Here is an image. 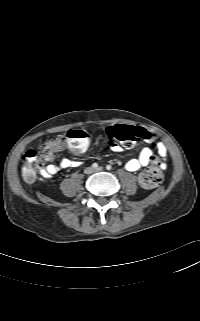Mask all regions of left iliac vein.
Wrapping results in <instances>:
<instances>
[{"label": "left iliac vein", "mask_w": 200, "mask_h": 321, "mask_svg": "<svg viewBox=\"0 0 200 321\" xmlns=\"http://www.w3.org/2000/svg\"><path fill=\"white\" fill-rule=\"evenodd\" d=\"M102 170H103L102 167H98V168L95 169V171H102Z\"/></svg>", "instance_id": "left-iliac-vein-1"}]
</instances>
